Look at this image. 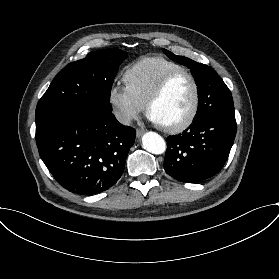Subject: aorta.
I'll list each match as a JSON object with an SVG mask.
<instances>
[{
	"instance_id": "1",
	"label": "aorta",
	"mask_w": 279,
	"mask_h": 279,
	"mask_svg": "<svg viewBox=\"0 0 279 279\" xmlns=\"http://www.w3.org/2000/svg\"><path fill=\"white\" fill-rule=\"evenodd\" d=\"M142 145L145 150L152 154H162L166 150V142L155 132H147L142 137Z\"/></svg>"
}]
</instances>
